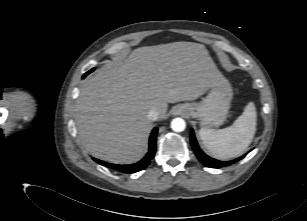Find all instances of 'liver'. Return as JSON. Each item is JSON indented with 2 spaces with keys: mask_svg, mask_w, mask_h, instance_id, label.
Listing matches in <instances>:
<instances>
[{
  "mask_svg": "<svg viewBox=\"0 0 307 221\" xmlns=\"http://www.w3.org/2000/svg\"><path fill=\"white\" fill-rule=\"evenodd\" d=\"M223 78L204 45L174 42L135 49L98 70L81 88L76 125L85 148L116 164L137 160L153 127L148 113L166 116L168 103L195 100Z\"/></svg>",
  "mask_w": 307,
  "mask_h": 221,
  "instance_id": "obj_1",
  "label": "liver"
}]
</instances>
